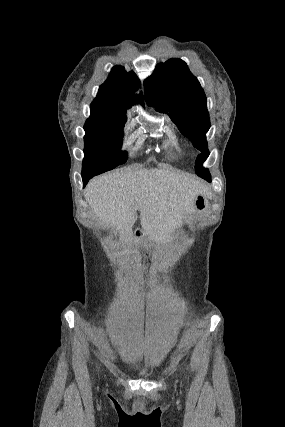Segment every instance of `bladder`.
Listing matches in <instances>:
<instances>
[{"label":"bladder","mask_w":285,"mask_h":427,"mask_svg":"<svg viewBox=\"0 0 285 427\" xmlns=\"http://www.w3.org/2000/svg\"><path fill=\"white\" fill-rule=\"evenodd\" d=\"M136 375L144 379H151L156 375V372L155 370L143 369V370H140Z\"/></svg>","instance_id":"bladder-1"}]
</instances>
